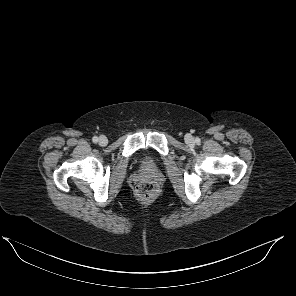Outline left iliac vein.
<instances>
[{"mask_svg": "<svg viewBox=\"0 0 296 296\" xmlns=\"http://www.w3.org/2000/svg\"><path fill=\"white\" fill-rule=\"evenodd\" d=\"M193 141H194V140H193V138H192L191 136H187V137H186V142H187V143H193Z\"/></svg>", "mask_w": 296, "mask_h": 296, "instance_id": "1", "label": "left iliac vein"}]
</instances>
